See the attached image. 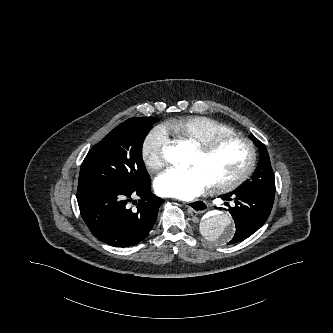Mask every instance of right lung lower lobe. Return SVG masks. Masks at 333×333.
<instances>
[{
	"label": "right lung lower lobe",
	"instance_id": "obj_1",
	"mask_svg": "<svg viewBox=\"0 0 333 333\" xmlns=\"http://www.w3.org/2000/svg\"><path fill=\"white\" fill-rule=\"evenodd\" d=\"M151 181L129 187L97 183L80 186L77 201L91 233L112 246L127 247L141 242L151 231L163 200L150 193ZM138 197V202L133 198ZM136 202L135 210L129 207Z\"/></svg>",
	"mask_w": 333,
	"mask_h": 333
}]
</instances>
